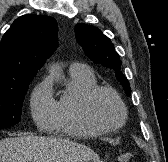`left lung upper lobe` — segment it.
Listing matches in <instances>:
<instances>
[{"label":"left lung upper lobe","mask_w":168,"mask_h":162,"mask_svg":"<svg viewBox=\"0 0 168 162\" xmlns=\"http://www.w3.org/2000/svg\"><path fill=\"white\" fill-rule=\"evenodd\" d=\"M75 35L78 44L83 48L86 55L94 62L110 69L116 75L127 96L131 89L125 75L121 72L120 56L115 51L111 40L98 28L86 24H77Z\"/></svg>","instance_id":"left-lung-upper-lobe-1"}]
</instances>
